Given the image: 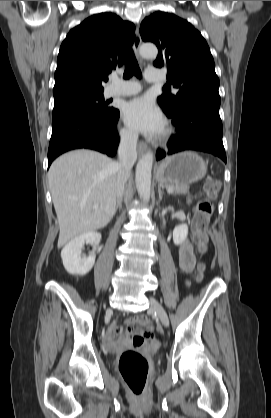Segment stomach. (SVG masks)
<instances>
[{
  "label": "stomach",
  "mask_w": 271,
  "mask_h": 418,
  "mask_svg": "<svg viewBox=\"0 0 271 418\" xmlns=\"http://www.w3.org/2000/svg\"><path fill=\"white\" fill-rule=\"evenodd\" d=\"M207 173V164L195 152H182L167 157L157 168L156 179L161 184H192Z\"/></svg>",
  "instance_id": "stomach-1"
}]
</instances>
